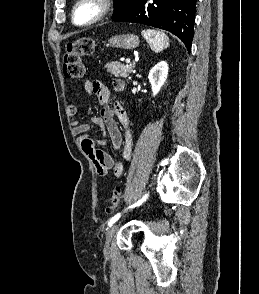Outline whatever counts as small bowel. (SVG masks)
Masks as SVG:
<instances>
[{
	"mask_svg": "<svg viewBox=\"0 0 259 294\" xmlns=\"http://www.w3.org/2000/svg\"><path fill=\"white\" fill-rule=\"evenodd\" d=\"M112 85L116 92H121L125 88V83L121 79H114ZM84 89L88 94L97 96L100 104V115L91 118L89 122L73 120L72 134L79 139L83 152L92 161L98 175L104 176L112 169L114 175L120 177L123 173L122 162L114 160L110 154L96 148L97 145H105L106 140L95 142L89 138L87 133L93 127H100L107 133L112 147L120 152L122 159L129 160L132 154V133L127 113L120 104H110V91L102 82L87 80L84 83ZM77 113V106L70 105L68 107L70 118L75 119ZM114 116L117 117L123 127V132Z\"/></svg>",
	"mask_w": 259,
	"mask_h": 294,
	"instance_id": "1",
	"label": "small bowel"
}]
</instances>
